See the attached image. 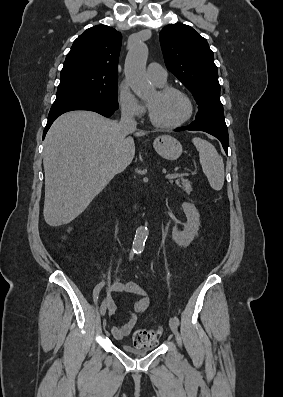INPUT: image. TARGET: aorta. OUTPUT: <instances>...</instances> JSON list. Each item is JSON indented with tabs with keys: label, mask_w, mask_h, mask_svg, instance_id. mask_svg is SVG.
<instances>
[{
	"label": "aorta",
	"mask_w": 283,
	"mask_h": 397,
	"mask_svg": "<svg viewBox=\"0 0 283 397\" xmlns=\"http://www.w3.org/2000/svg\"><path fill=\"white\" fill-rule=\"evenodd\" d=\"M148 48L143 43L135 44L129 51L125 61V76L132 91L140 98L151 93L153 87L146 77V61ZM148 228L144 225L136 230L133 241V249L141 251L144 249L148 237Z\"/></svg>",
	"instance_id": "762f6f07"
}]
</instances>
